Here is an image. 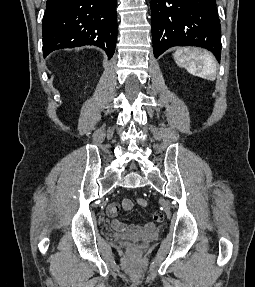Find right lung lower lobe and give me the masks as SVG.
<instances>
[{"mask_svg":"<svg viewBox=\"0 0 255 287\" xmlns=\"http://www.w3.org/2000/svg\"><path fill=\"white\" fill-rule=\"evenodd\" d=\"M43 54L95 45L113 56L117 40L116 0H47L42 23Z\"/></svg>","mask_w":255,"mask_h":287,"instance_id":"98d812e1","label":"right lung lower lobe"}]
</instances>
